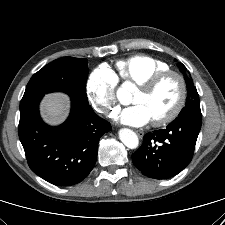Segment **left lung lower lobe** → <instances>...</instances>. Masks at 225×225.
I'll return each mask as SVG.
<instances>
[{
	"label": "left lung lower lobe",
	"mask_w": 225,
	"mask_h": 225,
	"mask_svg": "<svg viewBox=\"0 0 225 225\" xmlns=\"http://www.w3.org/2000/svg\"><path fill=\"white\" fill-rule=\"evenodd\" d=\"M201 120V114L192 113L176 118L166 129L147 133L142 146L132 154L134 165L150 178L177 175L192 159Z\"/></svg>",
	"instance_id": "1"
}]
</instances>
